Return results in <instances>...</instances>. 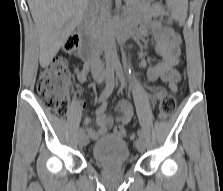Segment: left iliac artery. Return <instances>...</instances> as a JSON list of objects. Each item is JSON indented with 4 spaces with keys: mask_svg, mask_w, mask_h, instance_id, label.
<instances>
[{
    "mask_svg": "<svg viewBox=\"0 0 223 191\" xmlns=\"http://www.w3.org/2000/svg\"><path fill=\"white\" fill-rule=\"evenodd\" d=\"M115 70H116L117 75L121 81V84L124 85V78H123L122 68H121L120 64L115 66ZM137 134L140 138L144 137L143 131L141 129H138Z\"/></svg>",
    "mask_w": 223,
    "mask_h": 191,
    "instance_id": "44dca946",
    "label": "left iliac artery"
}]
</instances>
